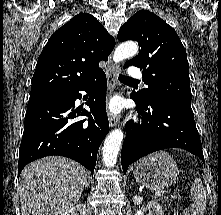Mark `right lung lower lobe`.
<instances>
[{"label":"right lung lower lobe","mask_w":221,"mask_h":215,"mask_svg":"<svg viewBox=\"0 0 221 215\" xmlns=\"http://www.w3.org/2000/svg\"><path fill=\"white\" fill-rule=\"evenodd\" d=\"M107 80L103 70L84 83L53 97L28 103L19 149L18 176L28 163L49 155L71 158L92 174L99 146L109 132L105 110ZM79 91L91 92L85 109H74ZM79 116H89L77 120Z\"/></svg>","instance_id":"1"}]
</instances>
